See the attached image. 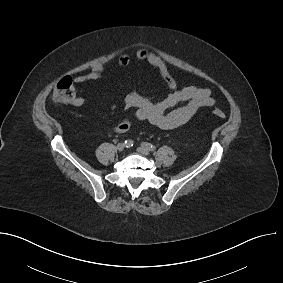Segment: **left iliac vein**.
<instances>
[{"label":"left iliac vein","mask_w":283,"mask_h":283,"mask_svg":"<svg viewBox=\"0 0 283 283\" xmlns=\"http://www.w3.org/2000/svg\"><path fill=\"white\" fill-rule=\"evenodd\" d=\"M137 152L141 155H149V152L143 147H138Z\"/></svg>","instance_id":"1"}]
</instances>
